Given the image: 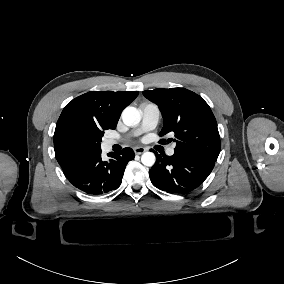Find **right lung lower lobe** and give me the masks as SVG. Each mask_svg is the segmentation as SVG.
I'll return each instance as SVG.
<instances>
[{"label": "right lung lower lobe", "mask_w": 284, "mask_h": 284, "mask_svg": "<svg viewBox=\"0 0 284 284\" xmlns=\"http://www.w3.org/2000/svg\"><path fill=\"white\" fill-rule=\"evenodd\" d=\"M111 159L104 161L101 151L76 161L63 168L67 179L78 189L90 195H100L116 190L120 184L127 163L134 159L131 148L119 153H109Z\"/></svg>", "instance_id": "1"}]
</instances>
